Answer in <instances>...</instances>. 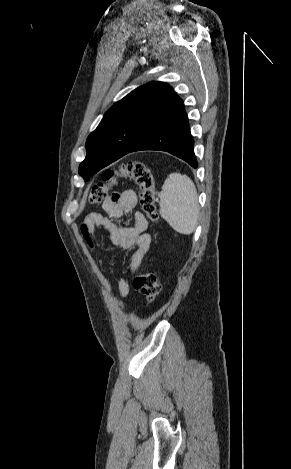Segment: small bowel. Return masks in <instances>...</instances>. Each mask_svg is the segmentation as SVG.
Returning a JSON list of instances; mask_svg holds the SVG:
<instances>
[{"mask_svg": "<svg viewBox=\"0 0 291 469\" xmlns=\"http://www.w3.org/2000/svg\"><path fill=\"white\" fill-rule=\"evenodd\" d=\"M136 206V193L133 190H124L107 198L102 203V209L106 216L100 213H91L85 218L82 226L83 235L89 244H92L93 239L100 237L97 228L101 227L108 232L114 246L125 251L135 248L131 261L133 271L147 255L151 244V237L146 233L148 222L144 215L136 210ZM123 217L132 218V225L123 226L120 223V219ZM130 290V282L121 278L118 283L119 294L125 297L130 293Z\"/></svg>", "mask_w": 291, "mask_h": 469, "instance_id": "obj_1", "label": "small bowel"}]
</instances>
